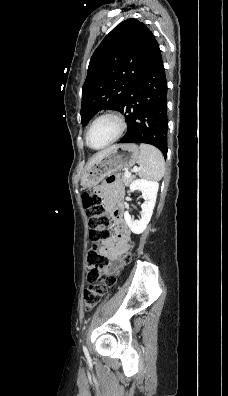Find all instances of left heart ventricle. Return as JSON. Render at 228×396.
<instances>
[{"label":"left heart ventricle","mask_w":228,"mask_h":396,"mask_svg":"<svg viewBox=\"0 0 228 396\" xmlns=\"http://www.w3.org/2000/svg\"><path fill=\"white\" fill-rule=\"evenodd\" d=\"M118 125L112 118H103L93 126L89 142L91 146L99 148L108 143L117 133Z\"/></svg>","instance_id":"obj_1"}]
</instances>
